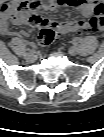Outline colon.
I'll use <instances>...</instances> for the list:
<instances>
[{"label":"colon","mask_w":104,"mask_h":137,"mask_svg":"<svg viewBox=\"0 0 104 137\" xmlns=\"http://www.w3.org/2000/svg\"><path fill=\"white\" fill-rule=\"evenodd\" d=\"M41 17H33L32 21H40ZM58 36V31L51 26L41 27L39 34V43L41 45H48L53 42Z\"/></svg>","instance_id":"colon-1"}]
</instances>
